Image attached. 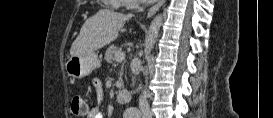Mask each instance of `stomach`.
I'll return each mask as SVG.
<instances>
[{
	"label": "stomach",
	"instance_id": "1",
	"mask_svg": "<svg viewBox=\"0 0 273 118\" xmlns=\"http://www.w3.org/2000/svg\"><path fill=\"white\" fill-rule=\"evenodd\" d=\"M101 65V60L95 52L71 56L66 63L68 76L80 79L88 76Z\"/></svg>",
	"mask_w": 273,
	"mask_h": 118
}]
</instances>
